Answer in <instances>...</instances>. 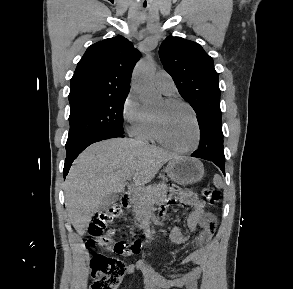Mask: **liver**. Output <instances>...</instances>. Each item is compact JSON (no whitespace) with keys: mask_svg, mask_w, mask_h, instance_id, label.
I'll return each mask as SVG.
<instances>
[{"mask_svg":"<svg viewBox=\"0 0 293 289\" xmlns=\"http://www.w3.org/2000/svg\"><path fill=\"white\" fill-rule=\"evenodd\" d=\"M177 155L146 142L115 138L89 146L74 161L65 182V205L69 219L83 235L104 197L123 192L126 180L135 186L149 183Z\"/></svg>","mask_w":293,"mask_h":289,"instance_id":"obj_1","label":"liver"}]
</instances>
